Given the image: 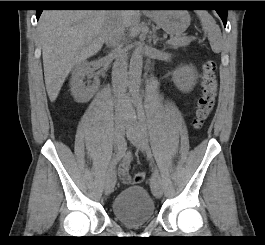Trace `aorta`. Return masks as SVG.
Wrapping results in <instances>:
<instances>
[{"mask_svg":"<svg viewBox=\"0 0 265 245\" xmlns=\"http://www.w3.org/2000/svg\"><path fill=\"white\" fill-rule=\"evenodd\" d=\"M143 67V48L141 44H138L134 49L129 66V91L133 97L139 96L141 75Z\"/></svg>","mask_w":265,"mask_h":245,"instance_id":"aorta-1","label":"aorta"}]
</instances>
